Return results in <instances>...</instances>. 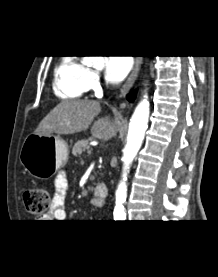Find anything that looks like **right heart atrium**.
Wrapping results in <instances>:
<instances>
[{"instance_id":"right-heart-atrium-1","label":"right heart atrium","mask_w":218,"mask_h":277,"mask_svg":"<svg viewBox=\"0 0 218 277\" xmlns=\"http://www.w3.org/2000/svg\"><path fill=\"white\" fill-rule=\"evenodd\" d=\"M87 87L89 89L97 88L100 85V75L97 71L89 70L87 74Z\"/></svg>"}]
</instances>
